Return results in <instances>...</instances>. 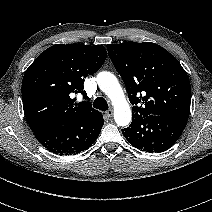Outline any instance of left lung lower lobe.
Returning a JSON list of instances; mask_svg holds the SVG:
<instances>
[{
    "instance_id": "obj_1",
    "label": "left lung lower lobe",
    "mask_w": 212,
    "mask_h": 212,
    "mask_svg": "<svg viewBox=\"0 0 212 212\" xmlns=\"http://www.w3.org/2000/svg\"><path fill=\"white\" fill-rule=\"evenodd\" d=\"M186 124L187 119L174 116H137L128 128L122 129V133L135 148L159 153L175 144Z\"/></svg>"
}]
</instances>
